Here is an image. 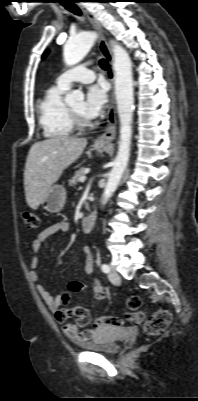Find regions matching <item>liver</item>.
<instances>
[{
  "mask_svg": "<svg viewBox=\"0 0 198 401\" xmlns=\"http://www.w3.org/2000/svg\"><path fill=\"white\" fill-rule=\"evenodd\" d=\"M86 138L51 137L34 143L28 153L24 171L27 204L37 209L63 171L80 157Z\"/></svg>",
  "mask_w": 198,
  "mask_h": 401,
  "instance_id": "liver-1",
  "label": "liver"
}]
</instances>
